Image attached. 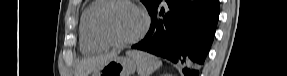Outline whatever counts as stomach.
<instances>
[{
  "label": "stomach",
  "instance_id": "obj_1",
  "mask_svg": "<svg viewBox=\"0 0 287 76\" xmlns=\"http://www.w3.org/2000/svg\"><path fill=\"white\" fill-rule=\"evenodd\" d=\"M136 70V62L130 57H113L96 70L93 76H130Z\"/></svg>",
  "mask_w": 287,
  "mask_h": 76
}]
</instances>
